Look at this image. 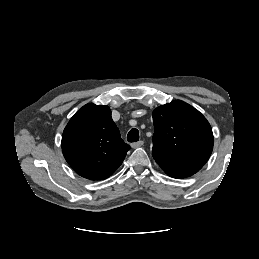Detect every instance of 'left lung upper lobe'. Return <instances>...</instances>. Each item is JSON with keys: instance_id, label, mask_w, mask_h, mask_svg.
<instances>
[{"instance_id": "left-lung-upper-lobe-1", "label": "left lung upper lobe", "mask_w": 259, "mask_h": 259, "mask_svg": "<svg viewBox=\"0 0 259 259\" xmlns=\"http://www.w3.org/2000/svg\"><path fill=\"white\" fill-rule=\"evenodd\" d=\"M152 154L154 159L204 165L213 149L209 122L194 107L175 100L156 108Z\"/></svg>"}]
</instances>
